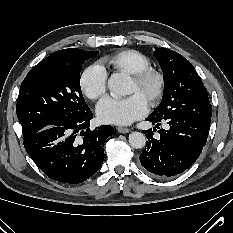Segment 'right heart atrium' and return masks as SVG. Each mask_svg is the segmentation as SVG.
<instances>
[{
	"label": "right heart atrium",
	"mask_w": 233,
	"mask_h": 233,
	"mask_svg": "<svg viewBox=\"0 0 233 233\" xmlns=\"http://www.w3.org/2000/svg\"><path fill=\"white\" fill-rule=\"evenodd\" d=\"M79 84L83 94L95 100L106 92L107 72L98 64L90 65L81 73Z\"/></svg>",
	"instance_id": "1"
}]
</instances>
